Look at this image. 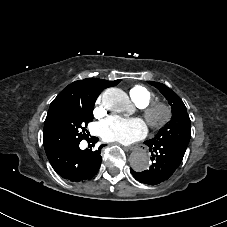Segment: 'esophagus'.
<instances>
[{
	"instance_id": "34e87169",
	"label": "esophagus",
	"mask_w": 227,
	"mask_h": 227,
	"mask_svg": "<svg viewBox=\"0 0 227 227\" xmlns=\"http://www.w3.org/2000/svg\"><path fill=\"white\" fill-rule=\"evenodd\" d=\"M140 151L149 152L150 146L145 144H137L136 146L133 147L134 153H139Z\"/></svg>"
}]
</instances>
